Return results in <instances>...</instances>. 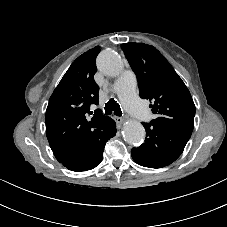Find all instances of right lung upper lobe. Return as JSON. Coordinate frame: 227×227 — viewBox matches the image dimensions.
I'll return each instance as SVG.
<instances>
[{
    "mask_svg": "<svg viewBox=\"0 0 227 227\" xmlns=\"http://www.w3.org/2000/svg\"><path fill=\"white\" fill-rule=\"evenodd\" d=\"M100 47L80 55L52 93L46 110V135L56 159L61 163L88 149L101 134L110 117L100 109L91 118L90 104H98L99 87L93 77Z\"/></svg>",
    "mask_w": 227,
    "mask_h": 227,
    "instance_id": "obj_1",
    "label": "right lung upper lobe"
}]
</instances>
